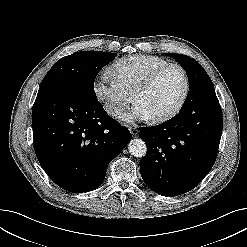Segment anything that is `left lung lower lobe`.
Here are the masks:
<instances>
[{"instance_id":"left-lung-lower-lobe-1","label":"left lung lower lobe","mask_w":247,"mask_h":247,"mask_svg":"<svg viewBox=\"0 0 247 247\" xmlns=\"http://www.w3.org/2000/svg\"><path fill=\"white\" fill-rule=\"evenodd\" d=\"M217 98L182 108L170 120L140 128L147 146L141 176L154 192L175 196L195 188L216 160L222 134Z\"/></svg>"}]
</instances>
